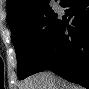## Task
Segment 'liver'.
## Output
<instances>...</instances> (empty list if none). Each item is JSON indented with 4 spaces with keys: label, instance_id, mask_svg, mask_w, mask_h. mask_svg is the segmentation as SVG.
Masks as SVG:
<instances>
[{
    "label": "liver",
    "instance_id": "obj_1",
    "mask_svg": "<svg viewBox=\"0 0 89 89\" xmlns=\"http://www.w3.org/2000/svg\"><path fill=\"white\" fill-rule=\"evenodd\" d=\"M52 75L50 73H42L37 76L31 77L26 83L27 87L31 89H36V88H44V87H50V86H55L52 80Z\"/></svg>",
    "mask_w": 89,
    "mask_h": 89
}]
</instances>
